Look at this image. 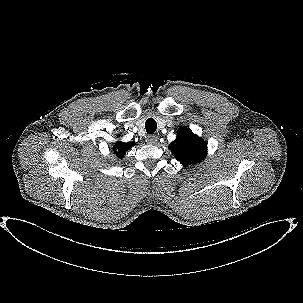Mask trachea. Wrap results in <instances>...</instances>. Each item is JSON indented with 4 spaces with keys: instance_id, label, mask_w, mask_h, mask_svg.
Masks as SVG:
<instances>
[{
    "instance_id": "3493384b",
    "label": "trachea",
    "mask_w": 303,
    "mask_h": 303,
    "mask_svg": "<svg viewBox=\"0 0 303 303\" xmlns=\"http://www.w3.org/2000/svg\"><path fill=\"white\" fill-rule=\"evenodd\" d=\"M146 132L148 134H153L156 131L157 123L153 118H149L145 122Z\"/></svg>"
}]
</instances>
